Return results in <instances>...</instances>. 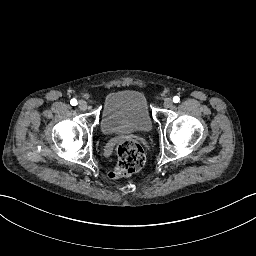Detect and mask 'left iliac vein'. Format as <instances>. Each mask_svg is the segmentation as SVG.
<instances>
[{
    "instance_id": "1",
    "label": "left iliac vein",
    "mask_w": 256,
    "mask_h": 256,
    "mask_svg": "<svg viewBox=\"0 0 256 256\" xmlns=\"http://www.w3.org/2000/svg\"><path fill=\"white\" fill-rule=\"evenodd\" d=\"M173 106V100L171 98H166L164 100V107L171 108Z\"/></svg>"
}]
</instances>
